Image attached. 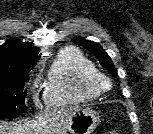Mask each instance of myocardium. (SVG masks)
Segmentation results:
<instances>
[{
	"instance_id": "obj_1",
	"label": "myocardium",
	"mask_w": 153,
	"mask_h": 134,
	"mask_svg": "<svg viewBox=\"0 0 153 134\" xmlns=\"http://www.w3.org/2000/svg\"><path fill=\"white\" fill-rule=\"evenodd\" d=\"M90 87L98 94L106 93L112 88V80L105 73L96 70L89 76Z\"/></svg>"
}]
</instances>
